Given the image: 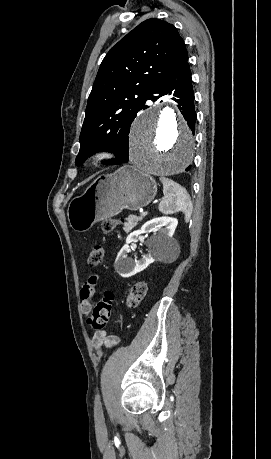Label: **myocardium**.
<instances>
[{"mask_svg":"<svg viewBox=\"0 0 271 459\" xmlns=\"http://www.w3.org/2000/svg\"><path fill=\"white\" fill-rule=\"evenodd\" d=\"M118 156L117 148L112 144H100L95 146L87 156L88 164L101 166L110 163Z\"/></svg>","mask_w":271,"mask_h":459,"instance_id":"myocardium-1","label":"myocardium"}]
</instances>
